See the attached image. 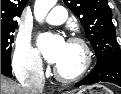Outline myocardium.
<instances>
[{"label":"myocardium","instance_id":"obj_1","mask_svg":"<svg viewBox=\"0 0 121 94\" xmlns=\"http://www.w3.org/2000/svg\"><path fill=\"white\" fill-rule=\"evenodd\" d=\"M68 43L74 44V45H77L80 47V49L82 50V54H83V62H82L80 69L73 74H68V75L63 74L57 68V66H55L53 68V73H54L55 77L59 81L64 82V83L75 82V81H78V80L84 78L86 76V74L88 73V71L91 67V64H92L91 49L84 39H82L80 37H71L68 39Z\"/></svg>","mask_w":121,"mask_h":94}]
</instances>
